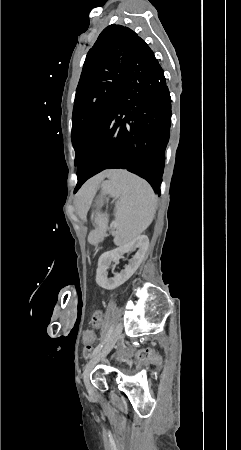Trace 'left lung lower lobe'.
Returning <instances> with one entry per match:
<instances>
[{
    "label": "left lung lower lobe",
    "instance_id": "1",
    "mask_svg": "<svg viewBox=\"0 0 241 450\" xmlns=\"http://www.w3.org/2000/svg\"><path fill=\"white\" fill-rule=\"evenodd\" d=\"M118 102L90 136L78 163L77 191L105 170L133 172L159 192L171 124V98L152 50L136 45Z\"/></svg>",
    "mask_w": 241,
    "mask_h": 450
}]
</instances>
